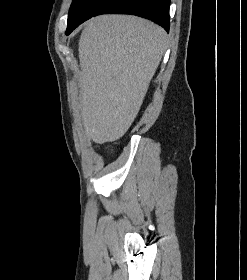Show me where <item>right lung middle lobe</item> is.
<instances>
[{"label":"right lung middle lobe","instance_id":"1","mask_svg":"<svg viewBox=\"0 0 247 280\" xmlns=\"http://www.w3.org/2000/svg\"><path fill=\"white\" fill-rule=\"evenodd\" d=\"M107 0H73L69 14L68 27L79 25L95 15Z\"/></svg>","mask_w":247,"mask_h":280}]
</instances>
